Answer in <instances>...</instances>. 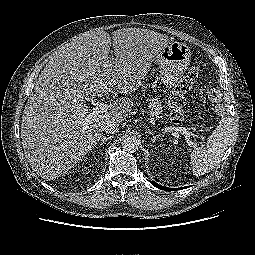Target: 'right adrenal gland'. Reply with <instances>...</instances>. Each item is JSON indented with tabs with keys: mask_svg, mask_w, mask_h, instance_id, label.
Returning a JSON list of instances; mask_svg holds the SVG:
<instances>
[{
	"mask_svg": "<svg viewBox=\"0 0 255 255\" xmlns=\"http://www.w3.org/2000/svg\"><path fill=\"white\" fill-rule=\"evenodd\" d=\"M112 137H113V136H108V137L103 136V137H102L101 139H99V140H101L104 144H106V142H107L108 140H110Z\"/></svg>",
	"mask_w": 255,
	"mask_h": 255,
	"instance_id": "right-adrenal-gland-1",
	"label": "right adrenal gland"
}]
</instances>
